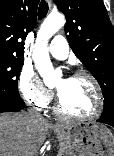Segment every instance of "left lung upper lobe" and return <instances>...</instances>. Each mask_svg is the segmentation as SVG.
<instances>
[{
  "mask_svg": "<svg viewBox=\"0 0 114 156\" xmlns=\"http://www.w3.org/2000/svg\"><path fill=\"white\" fill-rule=\"evenodd\" d=\"M72 51L101 86V117L114 119V28L102 0H56Z\"/></svg>",
  "mask_w": 114,
  "mask_h": 156,
  "instance_id": "1",
  "label": "left lung upper lobe"
}]
</instances>
